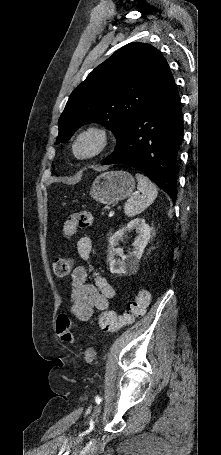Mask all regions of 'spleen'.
I'll return each instance as SVG.
<instances>
[{"mask_svg":"<svg viewBox=\"0 0 221 455\" xmlns=\"http://www.w3.org/2000/svg\"><path fill=\"white\" fill-rule=\"evenodd\" d=\"M138 190L141 194L132 195L124 206L125 215L134 217L142 213L157 197V189L155 185L146 176L137 173Z\"/></svg>","mask_w":221,"mask_h":455,"instance_id":"spleen-1","label":"spleen"}]
</instances>
